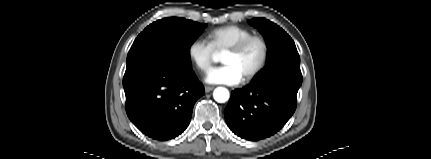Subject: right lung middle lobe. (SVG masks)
I'll use <instances>...</instances> for the list:
<instances>
[{"label": "right lung middle lobe", "instance_id": "obj_1", "mask_svg": "<svg viewBox=\"0 0 431 159\" xmlns=\"http://www.w3.org/2000/svg\"><path fill=\"white\" fill-rule=\"evenodd\" d=\"M206 26L177 17L153 22L133 42L127 55V66L148 58H163L191 68L190 47Z\"/></svg>", "mask_w": 431, "mask_h": 159}]
</instances>
